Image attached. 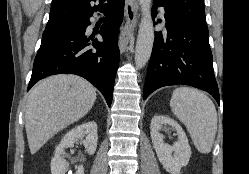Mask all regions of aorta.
I'll use <instances>...</instances> for the list:
<instances>
[{"mask_svg":"<svg viewBox=\"0 0 249 174\" xmlns=\"http://www.w3.org/2000/svg\"><path fill=\"white\" fill-rule=\"evenodd\" d=\"M138 1L142 16L135 48V66L137 69H141L150 59L154 42V30L150 12L151 0Z\"/></svg>","mask_w":249,"mask_h":174,"instance_id":"obj_1","label":"aorta"}]
</instances>
